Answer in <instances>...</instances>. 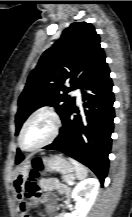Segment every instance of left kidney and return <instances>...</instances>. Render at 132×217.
<instances>
[{"instance_id":"obj_1","label":"left kidney","mask_w":132,"mask_h":217,"mask_svg":"<svg viewBox=\"0 0 132 217\" xmlns=\"http://www.w3.org/2000/svg\"><path fill=\"white\" fill-rule=\"evenodd\" d=\"M99 187L100 183L96 178H87L77 184L72 192V198L78 202V207L63 217H86L96 199Z\"/></svg>"}]
</instances>
